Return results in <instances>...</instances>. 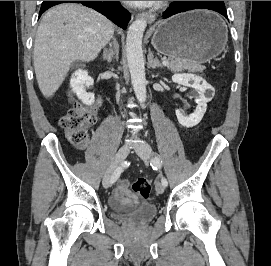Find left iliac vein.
Instances as JSON below:
<instances>
[{"label":"left iliac vein","instance_id":"4c4485c4","mask_svg":"<svg viewBox=\"0 0 271 266\" xmlns=\"http://www.w3.org/2000/svg\"><path fill=\"white\" fill-rule=\"evenodd\" d=\"M136 153L144 160L146 164H148L152 158V149L148 144L145 143L136 149ZM155 188L159 194H162L165 191V186L160 182L156 183Z\"/></svg>","mask_w":271,"mask_h":266}]
</instances>
